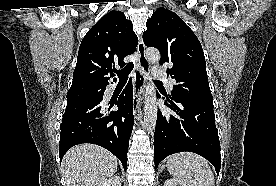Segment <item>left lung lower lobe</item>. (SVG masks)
I'll list each match as a JSON object with an SVG mask.
<instances>
[{
	"label": "left lung lower lobe",
	"mask_w": 276,
	"mask_h": 186,
	"mask_svg": "<svg viewBox=\"0 0 276 186\" xmlns=\"http://www.w3.org/2000/svg\"><path fill=\"white\" fill-rule=\"evenodd\" d=\"M157 97L161 96L157 94ZM165 97V105L174 113L158 111L154 136L155 167L170 154L189 151L206 158L218 174L221 155L213 100L175 101L176 104Z\"/></svg>",
	"instance_id": "0a47b994"
}]
</instances>
